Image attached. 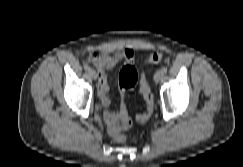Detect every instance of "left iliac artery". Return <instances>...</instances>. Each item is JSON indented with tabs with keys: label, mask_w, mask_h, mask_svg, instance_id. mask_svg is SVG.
I'll return each instance as SVG.
<instances>
[{
	"label": "left iliac artery",
	"mask_w": 243,
	"mask_h": 167,
	"mask_svg": "<svg viewBox=\"0 0 243 167\" xmlns=\"http://www.w3.org/2000/svg\"><path fill=\"white\" fill-rule=\"evenodd\" d=\"M161 71L165 74V73H167V67H163L162 69H161Z\"/></svg>",
	"instance_id": "obj_1"
}]
</instances>
